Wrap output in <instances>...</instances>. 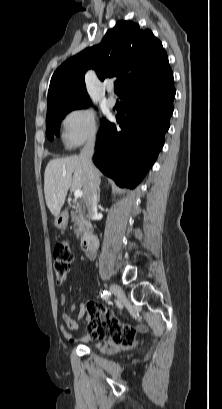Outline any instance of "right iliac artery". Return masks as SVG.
<instances>
[{
  "instance_id": "right-iliac-artery-1",
  "label": "right iliac artery",
  "mask_w": 222,
  "mask_h": 409,
  "mask_svg": "<svg viewBox=\"0 0 222 409\" xmlns=\"http://www.w3.org/2000/svg\"><path fill=\"white\" fill-rule=\"evenodd\" d=\"M110 296H111V293L110 292H108V291H103L102 293H101V297L104 299V300H108L109 298H110Z\"/></svg>"
}]
</instances>
